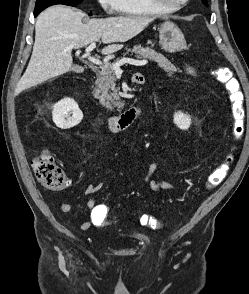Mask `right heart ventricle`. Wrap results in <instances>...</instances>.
I'll use <instances>...</instances> for the list:
<instances>
[{
	"label": "right heart ventricle",
	"instance_id": "1",
	"mask_svg": "<svg viewBox=\"0 0 249 294\" xmlns=\"http://www.w3.org/2000/svg\"><path fill=\"white\" fill-rule=\"evenodd\" d=\"M118 11L130 16H159L166 12L158 9L149 0H118Z\"/></svg>",
	"mask_w": 249,
	"mask_h": 294
}]
</instances>
